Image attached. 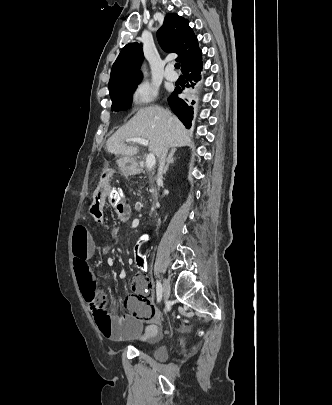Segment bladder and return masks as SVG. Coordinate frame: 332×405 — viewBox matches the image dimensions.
<instances>
[{
	"instance_id": "31cf9c89",
	"label": "bladder",
	"mask_w": 332,
	"mask_h": 405,
	"mask_svg": "<svg viewBox=\"0 0 332 405\" xmlns=\"http://www.w3.org/2000/svg\"><path fill=\"white\" fill-rule=\"evenodd\" d=\"M153 357L158 361H165L167 359V349L163 346L156 348Z\"/></svg>"
}]
</instances>
